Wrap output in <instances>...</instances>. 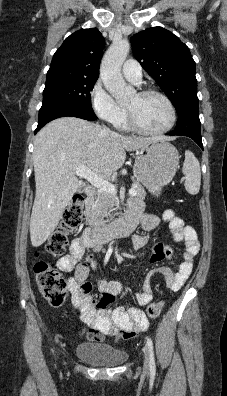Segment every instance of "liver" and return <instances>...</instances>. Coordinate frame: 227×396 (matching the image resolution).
I'll return each instance as SVG.
<instances>
[{
    "mask_svg": "<svg viewBox=\"0 0 227 396\" xmlns=\"http://www.w3.org/2000/svg\"><path fill=\"white\" fill-rule=\"evenodd\" d=\"M165 138L127 137L77 117H62L36 135L33 165L36 194L30 219L34 247L42 245L57 227L74 193L83 185L75 176L86 166L101 178L122 167L126 151Z\"/></svg>",
    "mask_w": 227,
    "mask_h": 396,
    "instance_id": "1",
    "label": "liver"
}]
</instances>
